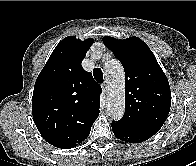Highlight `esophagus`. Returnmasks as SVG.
Listing matches in <instances>:
<instances>
[{
    "instance_id": "1",
    "label": "esophagus",
    "mask_w": 196,
    "mask_h": 166,
    "mask_svg": "<svg viewBox=\"0 0 196 166\" xmlns=\"http://www.w3.org/2000/svg\"><path fill=\"white\" fill-rule=\"evenodd\" d=\"M102 89H103L104 92L107 90V84H106V82H104L102 84Z\"/></svg>"
}]
</instances>
